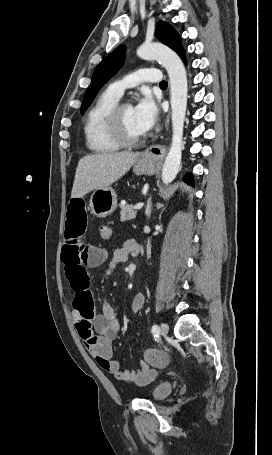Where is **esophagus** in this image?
Here are the masks:
<instances>
[{"instance_id":"obj_1","label":"esophagus","mask_w":272,"mask_h":455,"mask_svg":"<svg viewBox=\"0 0 272 455\" xmlns=\"http://www.w3.org/2000/svg\"><path fill=\"white\" fill-rule=\"evenodd\" d=\"M168 125H169V115L167 116L166 121H165V126L167 127ZM166 152H167V147L165 145L155 144V145L149 146L145 150L144 155L148 158L161 162V161H163V159L166 155Z\"/></svg>"}]
</instances>
